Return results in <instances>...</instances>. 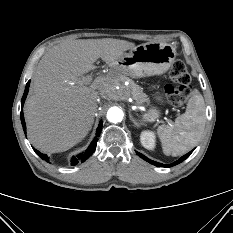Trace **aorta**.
Masks as SVG:
<instances>
[{
  "mask_svg": "<svg viewBox=\"0 0 233 233\" xmlns=\"http://www.w3.org/2000/svg\"><path fill=\"white\" fill-rule=\"evenodd\" d=\"M107 119L112 123L121 122L123 119V112L118 107H111L107 112Z\"/></svg>",
  "mask_w": 233,
  "mask_h": 233,
  "instance_id": "obj_1",
  "label": "aorta"
}]
</instances>
